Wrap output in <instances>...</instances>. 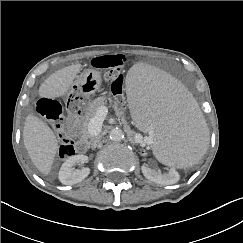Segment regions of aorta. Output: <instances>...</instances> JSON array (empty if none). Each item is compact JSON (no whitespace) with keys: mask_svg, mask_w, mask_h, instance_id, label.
Here are the masks:
<instances>
[{"mask_svg":"<svg viewBox=\"0 0 243 243\" xmlns=\"http://www.w3.org/2000/svg\"><path fill=\"white\" fill-rule=\"evenodd\" d=\"M109 137L114 141H121L124 139V132L120 128H112L109 131Z\"/></svg>","mask_w":243,"mask_h":243,"instance_id":"aorta-1","label":"aorta"}]
</instances>
